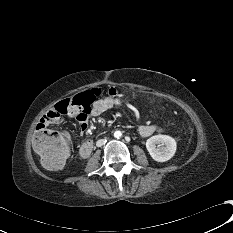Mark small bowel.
Instances as JSON below:
<instances>
[{
  "mask_svg": "<svg viewBox=\"0 0 233 233\" xmlns=\"http://www.w3.org/2000/svg\"><path fill=\"white\" fill-rule=\"evenodd\" d=\"M121 92L116 87H111L107 90L106 96L96 100L88 111H78L74 108L61 109L60 104L52 107L40 119L38 126L47 128L51 124H57L61 121L62 115L75 118L79 123L80 133H84L88 129V123L92 118H95L109 110L119 107L122 104L120 100ZM163 128L159 124H146L139 127V134L142 137H149L154 133H160ZM96 142L94 139L89 138L86 142L79 145V152L82 155H89L92 152Z\"/></svg>",
  "mask_w": 233,
  "mask_h": 233,
  "instance_id": "obj_1",
  "label": "small bowel"
}]
</instances>
